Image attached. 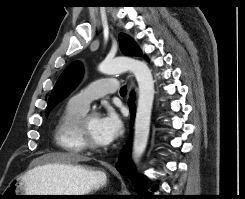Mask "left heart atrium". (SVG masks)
Wrapping results in <instances>:
<instances>
[{"label":"left heart atrium","mask_w":245,"mask_h":199,"mask_svg":"<svg viewBox=\"0 0 245 199\" xmlns=\"http://www.w3.org/2000/svg\"><path fill=\"white\" fill-rule=\"evenodd\" d=\"M97 128L103 145L110 144L121 136L123 121L114 109L107 108L98 118Z\"/></svg>","instance_id":"left-heart-atrium-1"}]
</instances>
